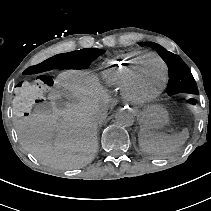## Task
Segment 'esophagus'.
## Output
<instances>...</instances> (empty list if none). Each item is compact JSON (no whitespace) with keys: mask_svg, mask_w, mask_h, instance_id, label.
Masks as SVG:
<instances>
[{"mask_svg":"<svg viewBox=\"0 0 211 211\" xmlns=\"http://www.w3.org/2000/svg\"><path fill=\"white\" fill-rule=\"evenodd\" d=\"M117 109L120 112H125V113H128V114H131L134 111L133 106L128 105V104H123V103L118 104Z\"/></svg>","mask_w":211,"mask_h":211,"instance_id":"34e87169","label":"esophagus"}]
</instances>
